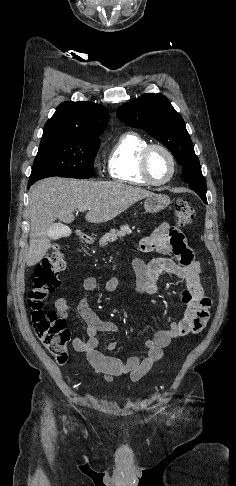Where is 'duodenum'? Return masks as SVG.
Wrapping results in <instances>:
<instances>
[{
    "mask_svg": "<svg viewBox=\"0 0 236 486\" xmlns=\"http://www.w3.org/2000/svg\"><path fill=\"white\" fill-rule=\"evenodd\" d=\"M77 236L84 243H87L88 240H89L88 237L84 233H82V232H78L77 233Z\"/></svg>",
    "mask_w": 236,
    "mask_h": 486,
    "instance_id": "obj_1",
    "label": "duodenum"
}]
</instances>
